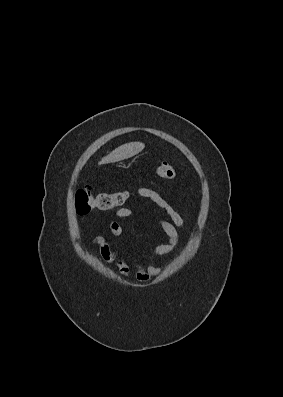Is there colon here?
Returning <instances> with one entry per match:
<instances>
[{"label":"colon","instance_id":"obj_1","mask_svg":"<svg viewBox=\"0 0 283 397\" xmlns=\"http://www.w3.org/2000/svg\"><path fill=\"white\" fill-rule=\"evenodd\" d=\"M157 175L162 179H173L176 170L168 162H162L156 167ZM127 200V193L123 191L93 194L89 189H79L75 194V209L84 215L93 209L107 211L122 206Z\"/></svg>","mask_w":283,"mask_h":397}]
</instances>
